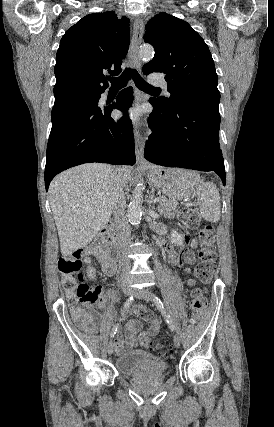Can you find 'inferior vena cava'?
<instances>
[{"mask_svg": "<svg viewBox=\"0 0 274 427\" xmlns=\"http://www.w3.org/2000/svg\"><path fill=\"white\" fill-rule=\"evenodd\" d=\"M123 188L124 182H120L116 190H114L112 196V210L119 233V243L121 247H128L129 243H131V239L126 214V198ZM123 263L128 265L129 259H124Z\"/></svg>", "mask_w": 274, "mask_h": 427, "instance_id": "602c4592", "label": "inferior vena cava"}]
</instances>
